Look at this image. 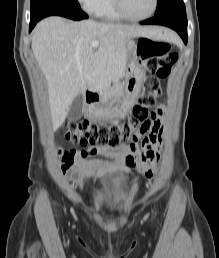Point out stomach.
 Instances as JSON below:
<instances>
[{
    "label": "stomach",
    "mask_w": 219,
    "mask_h": 258,
    "mask_svg": "<svg viewBox=\"0 0 219 258\" xmlns=\"http://www.w3.org/2000/svg\"><path fill=\"white\" fill-rule=\"evenodd\" d=\"M129 63L121 86L103 91L97 100L86 105L85 115L91 120L124 118L135 104L145 79V71L138 56V44L133 39L126 43Z\"/></svg>",
    "instance_id": "1"
}]
</instances>
